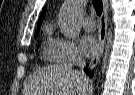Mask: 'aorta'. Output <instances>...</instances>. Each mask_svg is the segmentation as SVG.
Listing matches in <instances>:
<instances>
[{"label":"aorta","mask_w":135,"mask_h":95,"mask_svg":"<svg viewBox=\"0 0 135 95\" xmlns=\"http://www.w3.org/2000/svg\"><path fill=\"white\" fill-rule=\"evenodd\" d=\"M85 0H66L59 13L58 25L66 38L74 39L80 34L79 17Z\"/></svg>","instance_id":"obj_1"}]
</instances>
